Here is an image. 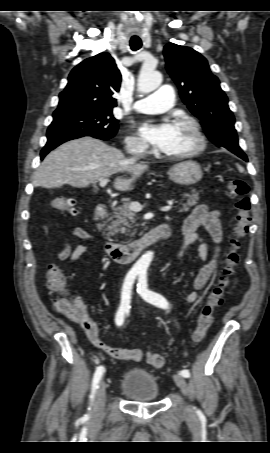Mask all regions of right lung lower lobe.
Instances as JSON below:
<instances>
[{"instance_id": "1", "label": "right lung lower lobe", "mask_w": 270, "mask_h": 453, "mask_svg": "<svg viewBox=\"0 0 270 453\" xmlns=\"http://www.w3.org/2000/svg\"><path fill=\"white\" fill-rule=\"evenodd\" d=\"M84 136H91V135H67V134H53V135H47L48 141L47 144L44 146V148L41 151V159H43L51 150L56 148L58 145L72 140V139H77L80 137ZM94 138L101 139L100 137L97 136H92Z\"/></svg>"}]
</instances>
